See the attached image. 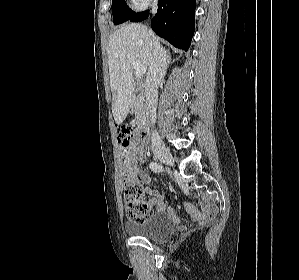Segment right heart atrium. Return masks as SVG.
<instances>
[{
  "instance_id": "right-heart-atrium-1",
  "label": "right heart atrium",
  "mask_w": 299,
  "mask_h": 280,
  "mask_svg": "<svg viewBox=\"0 0 299 280\" xmlns=\"http://www.w3.org/2000/svg\"><path fill=\"white\" fill-rule=\"evenodd\" d=\"M156 0H130L131 6L136 10H143Z\"/></svg>"
}]
</instances>
